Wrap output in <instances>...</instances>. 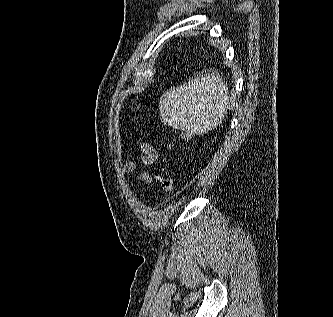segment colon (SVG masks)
I'll use <instances>...</instances> for the list:
<instances>
[{"mask_svg": "<svg viewBox=\"0 0 333 317\" xmlns=\"http://www.w3.org/2000/svg\"><path fill=\"white\" fill-rule=\"evenodd\" d=\"M193 137V132L190 129H184L180 132V139L183 141H188ZM154 181L159 185L162 192L165 194H170L173 191L172 180L163 173L157 172L154 174Z\"/></svg>", "mask_w": 333, "mask_h": 317, "instance_id": "5ec220e1", "label": "colon"}]
</instances>
